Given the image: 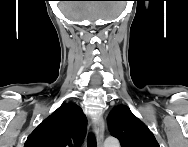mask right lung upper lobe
<instances>
[{
	"instance_id": "obj_1",
	"label": "right lung upper lobe",
	"mask_w": 188,
	"mask_h": 147,
	"mask_svg": "<svg viewBox=\"0 0 188 147\" xmlns=\"http://www.w3.org/2000/svg\"><path fill=\"white\" fill-rule=\"evenodd\" d=\"M86 127L87 118L81 107L66 103L38 125L24 147H79Z\"/></svg>"
}]
</instances>
